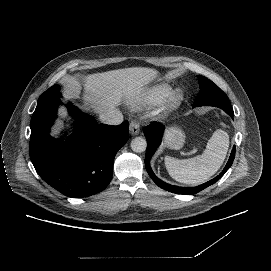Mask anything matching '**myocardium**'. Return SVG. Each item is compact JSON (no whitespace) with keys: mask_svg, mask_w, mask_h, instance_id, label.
Listing matches in <instances>:
<instances>
[{"mask_svg":"<svg viewBox=\"0 0 271 271\" xmlns=\"http://www.w3.org/2000/svg\"><path fill=\"white\" fill-rule=\"evenodd\" d=\"M185 97L184 90L181 88H177L169 97L166 103V111L172 110L176 108L183 101Z\"/></svg>","mask_w":271,"mask_h":271,"instance_id":"myocardium-1","label":"myocardium"}]
</instances>
